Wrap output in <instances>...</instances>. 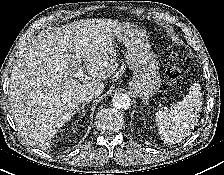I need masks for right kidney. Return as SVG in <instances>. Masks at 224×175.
<instances>
[{"instance_id":"obj_1","label":"right kidney","mask_w":224,"mask_h":175,"mask_svg":"<svg viewBox=\"0 0 224 175\" xmlns=\"http://www.w3.org/2000/svg\"><path fill=\"white\" fill-rule=\"evenodd\" d=\"M76 121L75 122H72V128H73V125H75Z\"/></svg>"}]
</instances>
